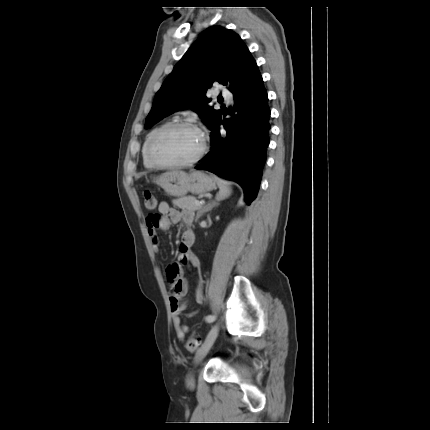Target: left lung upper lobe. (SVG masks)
Instances as JSON below:
<instances>
[{"label": "left lung upper lobe", "instance_id": "left-lung-upper-lobe-1", "mask_svg": "<svg viewBox=\"0 0 430 430\" xmlns=\"http://www.w3.org/2000/svg\"><path fill=\"white\" fill-rule=\"evenodd\" d=\"M257 71L255 60L238 34L222 26L206 29L156 93L146 127L175 110L189 107L209 126L220 110L208 105V88L217 81L229 85L233 92L243 78H250Z\"/></svg>", "mask_w": 430, "mask_h": 430}]
</instances>
